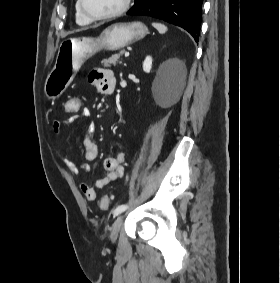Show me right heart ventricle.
<instances>
[{"instance_id":"e07e8e85","label":"right heart ventricle","mask_w":280,"mask_h":283,"mask_svg":"<svg viewBox=\"0 0 280 283\" xmlns=\"http://www.w3.org/2000/svg\"><path fill=\"white\" fill-rule=\"evenodd\" d=\"M74 9H75V20H76V23L78 24V25H88L90 22H91V20H89V19H87L84 15H83V13H82V11H81V9H80V6H79V1L78 0H76V2H75V7H74Z\"/></svg>"}]
</instances>
